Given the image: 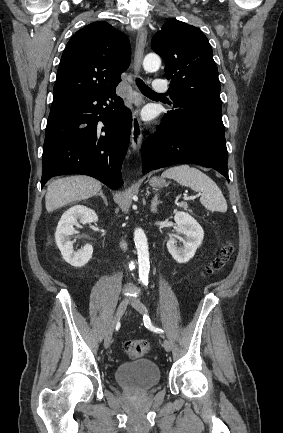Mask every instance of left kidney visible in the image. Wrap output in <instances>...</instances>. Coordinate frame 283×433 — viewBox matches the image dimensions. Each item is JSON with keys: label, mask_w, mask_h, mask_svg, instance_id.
<instances>
[{"label": "left kidney", "mask_w": 283, "mask_h": 433, "mask_svg": "<svg viewBox=\"0 0 283 433\" xmlns=\"http://www.w3.org/2000/svg\"><path fill=\"white\" fill-rule=\"evenodd\" d=\"M174 220L177 224V232L184 235L183 246L178 247L179 238H171L167 241V248L174 260L178 263H186L193 258L197 248L201 245L204 238V231L200 224L189 214L178 211L175 213Z\"/></svg>", "instance_id": "left-kidney-1"}]
</instances>
